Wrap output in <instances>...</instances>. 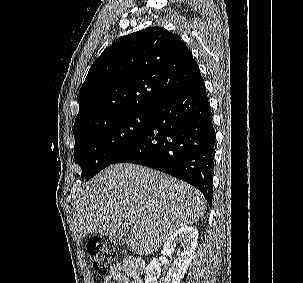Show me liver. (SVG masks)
I'll use <instances>...</instances> for the list:
<instances>
[{
	"label": "liver",
	"mask_w": 303,
	"mask_h": 283,
	"mask_svg": "<svg viewBox=\"0 0 303 283\" xmlns=\"http://www.w3.org/2000/svg\"><path fill=\"white\" fill-rule=\"evenodd\" d=\"M73 224L79 237L113 235L128 220L132 251L150 254L175 231L204 216L205 198L189 184L135 164L110 165L74 193ZM132 221H135L134 223Z\"/></svg>",
	"instance_id": "liver-1"
}]
</instances>
